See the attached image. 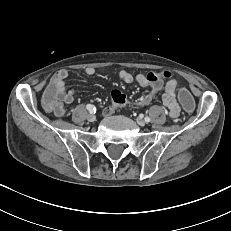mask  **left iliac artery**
Here are the masks:
<instances>
[{
	"label": "left iliac artery",
	"instance_id": "left-iliac-artery-1",
	"mask_svg": "<svg viewBox=\"0 0 231 231\" xmlns=\"http://www.w3.org/2000/svg\"><path fill=\"white\" fill-rule=\"evenodd\" d=\"M145 122H150V118L149 117H145Z\"/></svg>",
	"mask_w": 231,
	"mask_h": 231
}]
</instances>
